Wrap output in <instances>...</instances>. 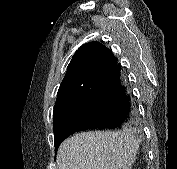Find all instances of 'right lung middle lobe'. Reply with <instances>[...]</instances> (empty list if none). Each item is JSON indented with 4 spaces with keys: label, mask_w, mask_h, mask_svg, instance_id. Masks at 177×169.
I'll return each mask as SVG.
<instances>
[{
    "label": "right lung middle lobe",
    "mask_w": 177,
    "mask_h": 169,
    "mask_svg": "<svg viewBox=\"0 0 177 169\" xmlns=\"http://www.w3.org/2000/svg\"><path fill=\"white\" fill-rule=\"evenodd\" d=\"M89 92L90 90L86 83L79 87L73 94L55 103L53 111L54 130L60 121L78 114L84 108L89 100Z\"/></svg>",
    "instance_id": "right-lung-middle-lobe-1"
}]
</instances>
